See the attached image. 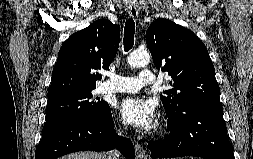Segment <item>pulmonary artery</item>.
I'll return each instance as SVG.
<instances>
[{"label":"pulmonary artery","instance_id":"e3ab8cb5","mask_svg":"<svg viewBox=\"0 0 253 159\" xmlns=\"http://www.w3.org/2000/svg\"><path fill=\"white\" fill-rule=\"evenodd\" d=\"M107 75L110 80L102 85L103 93L136 92L143 86H151L155 83V77L148 69H142L139 77H127L113 72H107Z\"/></svg>","mask_w":253,"mask_h":159}]
</instances>
